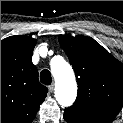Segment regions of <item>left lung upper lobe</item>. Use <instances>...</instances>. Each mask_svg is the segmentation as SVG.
I'll return each instance as SVG.
<instances>
[{
    "label": "left lung upper lobe",
    "mask_w": 123,
    "mask_h": 123,
    "mask_svg": "<svg viewBox=\"0 0 123 123\" xmlns=\"http://www.w3.org/2000/svg\"><path fill=\"white\" fill-rule=\"evenodd\" d=\"M77 77L73 106L114 119L123 104V64L94 39L59 36Z\"/></svg>",
    "instance_id": "5c2ea615"
}]
</instances>
